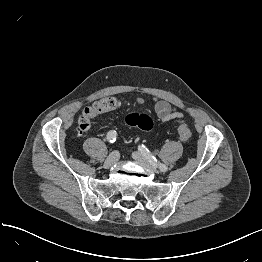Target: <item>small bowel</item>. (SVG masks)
<instances>
[{"instance_id":"c3829d8e","label":"small bowel","mask_w":262,"mask_h":262,"mask_svg":"<svg viewBox=\"0 0 262 262\" xmlns=\"http://www.w3.org/2000/svg\"><path fill=\"white\" fill-rule=\"evenodd\" d=\"M112 102L117 103V100L111 98L102 99L92 106L86 107L81 115V118H86L90 122V120H92L95 116L114 109L115 107L110 106V103ZM137 102L139 104L144 103L141 99H138ZM98 109H100V111H98ZM153 109L163 122L178 120L183 117V114L179 112L174 105H171L162 99H155L153 101ZM89 128L90 125L85 130H88Z\"/></svg>"}]
</instances>
